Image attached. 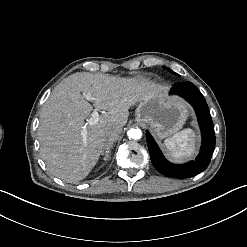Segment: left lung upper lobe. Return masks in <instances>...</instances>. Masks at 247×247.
Here are the masks:
<instances>
[{"label": "left lung upper lobe", "instance_id": "5c2ea615", "mask_svg": "<svg viewBox=\"0 0 247 247\" xmlns=\"http://www.w3.org/2000/svg\"><path fill=\"white\" fill-rule=\"evenodd\" d=\"M169 72L173 73V74H176L175 72H173L171 69L169 68H166Z\"/></svg>", "mask_w": 247, "mask_h": 247}]
</instances>
